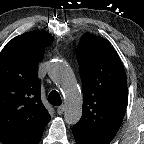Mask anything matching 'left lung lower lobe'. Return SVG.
<instances>
[{
  "label": "left lung lower lobe",
  "mask_w": 144,
  "mask_h": 144,
  "mask_svg": "<svg viewBox=\"0 0 144 144\" xmlns=\"http://www.w3.org/2000/svg\"><path fill=\"white\" fill-rule=\"evenodd\" d=\"M75 141L77 144H97L95 142H91V141H88V140H85L83 139L82 137L78 136V135H75Z\"/></svg>",
  "instance_id": "left-lung-lower-lobe-1"
}]
</instances>
